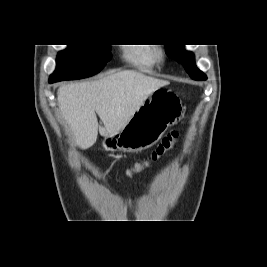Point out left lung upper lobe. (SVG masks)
Instances as JSON below:
<instances>
[{
    "label": "left lung upper lobe",
    "instance_id": "left-lung-upper-lobe-1",
    "mask_svg": "<svg viewBox=\"0 0 267 267\" xmlns=\"http://www.w3.org/2000/svg\"><path fill=\"white\" fill-rule=\"evenodd\" d=\"M166 53L181 63L189 76L194 80H206L207 76L195 65L194 54L184 50V45H166Z\"/></svg>",
    "mask_w": 267,
    "mask_h": 267
}]
</instances>
